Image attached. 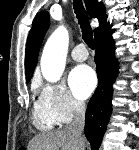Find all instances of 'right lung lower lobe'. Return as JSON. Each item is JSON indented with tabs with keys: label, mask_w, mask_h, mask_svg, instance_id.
<instances>
[{
	"label": "right lung lower lobe",
	"mask_w": 139,
	"mask_h": 150,
	"mask_svg": "<svg viewBox=\"0 0 139 150\" xmlns=\"http://www.w3.org/2000/svg\"><path fill=\"white\" fill-rule=\"evenodd\" d=\"M112 33L110 25L105 23L94 34L98 87L88 103L85 118V136L91 143L92 150L99 149L112 110V84L118 74Z\"/></svg>",
	"instance_id": "1"
}]
</instances>
